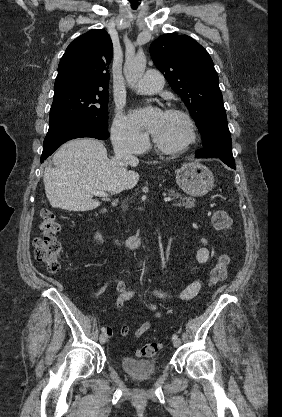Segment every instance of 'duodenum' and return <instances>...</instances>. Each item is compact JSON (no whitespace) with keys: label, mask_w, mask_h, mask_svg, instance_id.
<instances>
[{"label":"duodenum","mask_w":282,"mask_h":417,"mask_svg":"<svg viewBox=\"0 0 282 417\" xmlns=\"http://www.w3.org/2000/svg\"><path fill=\"white\" fill-rule=\"evenodd\" d=\"M113 238L117 242L126 241L129 244H131L132 246H135L140 240V236H137V235H131V236H127V237L114 236Z\"/></svg>","instance_id":"1"}]
</instances>
